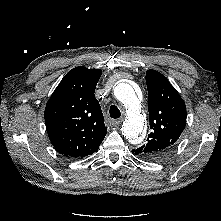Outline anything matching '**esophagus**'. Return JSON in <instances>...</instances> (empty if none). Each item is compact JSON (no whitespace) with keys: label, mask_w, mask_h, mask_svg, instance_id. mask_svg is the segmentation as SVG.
<instances>
[{"label":"esophagus","mask_w":221,"mask_h":221,"mask_svg":"<svg viewBox=\"0 0 221 221\" xmlns=\"http://www.w3.org/2000/svg\"><path fill=\"white\" fill-rule=\"evenodd\" d=\"M123 119H117L112 121V125L117 127L122 123Z\"/></svg>","instance_id":"esophagus-1"}]
</instances>
